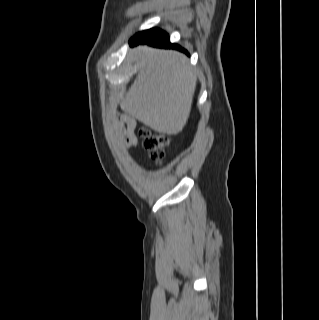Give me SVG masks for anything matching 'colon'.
<instances>
[{"label": "colon", "mask_w": 319, "mask_h": 320, "mask_svg": "<svg viewBox=\"0 0 319 320\" xmlns=\"http://www.w3.org/2000/svg\"><path fill=\"white\" fill-rule=\"evenodd\" d=\"M140 136L144 148L151 153L154 159L161 160L165 155L164 149L170 142L169 138L163 134L153 133L148 129H142Z\"/></svg>", "instance_id": "colon-1"}]
</instances>
